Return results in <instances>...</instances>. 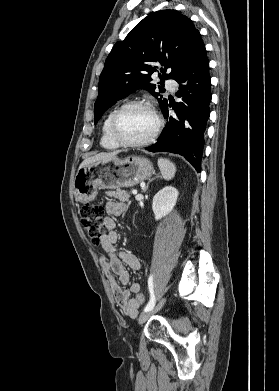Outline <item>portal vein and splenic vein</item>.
<instances>
[{
	"instance_id": "18ae733b",
	"label": "portal vein and splenic vein",
	"mask_w": 279,
	"mask_h": 391,
	"mask_svg": "<svg viewBox=\"0 0 279 391\" xmlns=\"http://www.w3.org/2000/svg\"><path fill=\"white\" fill-rule=\"evenodd\" d=\"M132 193H133L134 195H136V194H137V190H133Z\"/></svg>"
}]
</instances>
